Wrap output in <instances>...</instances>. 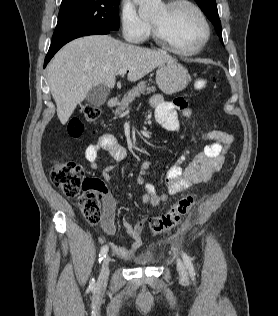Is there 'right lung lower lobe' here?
Listing matches in <instances>:
<instances>
[{
	"label": "right lung lower lobe",
	"mask_w": 278,
	"mask_h": 316,
	"mask_svg": "<svg viewBox=\"0 0 278 316\" xmlns=\"http://www.w3.org/2000/svg\"><path fill=\"white\" fill-rule=\"evenodd\" d=\"M111 30H95V31H87V32H82L76 35H73L71 37H68L66 39H63L59 42L56 43H52L50 45L49 51L46 55L45 58V62H44V67H46L47 63L51 60V58L54 56V54L66 43H68L69 41L78 38V37H82V36H88V35H103V34H108L110 33Z\"/></svg>",
	"instance_id": "right-lung-lower-lobe-1"
}]
</instances>
